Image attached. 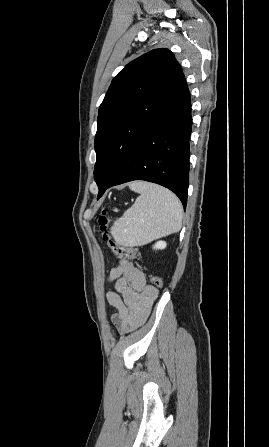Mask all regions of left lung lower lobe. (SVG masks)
<instances>
[{"label": "left lung lower lobe", "instance_id": "obj_1", "mask_svg": "<svg viewBox=\"0 0 269 447\" xmlns=\"http://www.w3.org/2000/svg\"><path fill=\"white\" fill-rule=\"evenodd\" d=\"M190 101V93L182 73L171 93L164 115L146 132L118 177L109 185L99 187L98 198L110 186L145 180L170 189L186 207L192 129Z\"/></svg>", "mask_w": 269, "mask_h": 447}]
</instances>
